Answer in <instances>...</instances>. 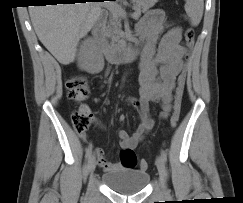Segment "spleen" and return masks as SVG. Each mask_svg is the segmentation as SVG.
Segmentation results:
<instances>
[{"mask_svg":"<svg viewBox=\"0 0 243 203\" xmlns=\"http://www.w3.org/2000/svg\"><path fill=\"white\" fill-rule=\"evenodd\" d=\"M187 16L193 26H197L203 16L204 1L203 0H186L184 6Z\"/></svg>","mask_w":243,"mask_h":203,"instance_id":"obj_1","label":"spleen"}]
</instances>
